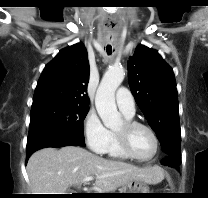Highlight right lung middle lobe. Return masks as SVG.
Returning <instances> with one entry per match:
<instances>
[{"instance_id":"right-lung-middle-lobe-1","label":"right lung middle lobe","mask_w":208,"mask_h":198,"mask_svg":"<svg viewBox=\"0 0 208 198\" xmlns=\"http://www.w3.org/2000/svg\"><path fill=\"white\" fill-rule=\"evenodd\" d=\"M88 111V105L69 102L32 107L28 138L58 131L84 140L83 120Z\"/></svg>"}]
</instances>
